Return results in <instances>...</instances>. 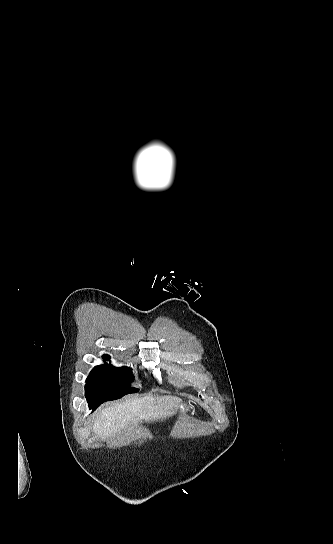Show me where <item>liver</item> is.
<instances>
[{"instance_id": "liver-1", "label": "liver", "mask_w": 333, "mask_h": 544, "mask_svg": "<svg viewBox=\"0 0 333 544\" xmlns=\"http://www.w3.org/2000/svg\"><path fill=\"white\" fill-rule=\"evenodd\" d=\"M180 401L173 396L148 395L117 403L98 414L93 431L101 438H107L137 426L141 420H163L175 413Z\"/></svg>"}]
</instances>
